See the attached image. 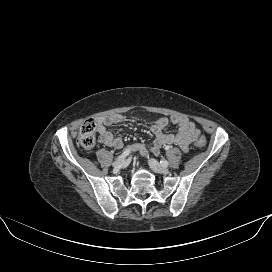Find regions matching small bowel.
Instances as JSON below:
<instances>
[{
	"label": "small bowel",
	"mask_w": 272,
	"mask_h": 272,
	"mask_svg": "<svg viewBox=\"0 0 272 272\" xmlns=\"http://www.w3.org/2000/svg\"><path fill=\"white\" fill-rule=\"evenodd\" d=\"M123 120L121 114H112L97 119V130L99 134V142L106 146L120 149L124 143L120 137L115 136L108 130V127L117 124ZM169 122L177 127L174 133H166L165 129ZM152 133L154 134V140L149 145L142 143L135 144L133 149L139 151L144 157L149 156L150 150L155 155H158L160 149L163 146L177 145L182 151L187 152L189 145L195 141L200 131L196 128L195 124L190 121L187 117L181 115H174L168 120L165 117L157 119L152 127Z\"/></svg>",
	"instance_id": "obj_1"
}]
</instances>
